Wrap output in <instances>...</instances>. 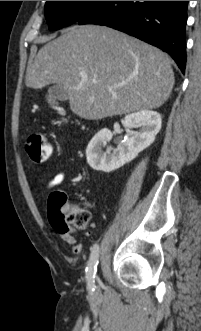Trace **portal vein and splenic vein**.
<instances>
[{
    "instance_id": "obj_1",
    "label": "portal vein and splenic vein",
    "mask_w": 201,
    "mask_h": 331,
    "mask_svg": "<svg viewBox=\"0 0 201 331\" xmlns=\"http://www.w3.org/2000/svg\"><path fill=\"white\" fill-rule=\"evenodd\" d=\"M88 79V77H87V75L86 74H81V80L82 81H86ZM94 82H96V81H94ZM127 84V82L126 81H123V82H121V83H119V84H115L114 86H112V87H109L110 89L111 88H117V87H120V86H124V85H126Z\"/></svg>"
}]
</instances>
